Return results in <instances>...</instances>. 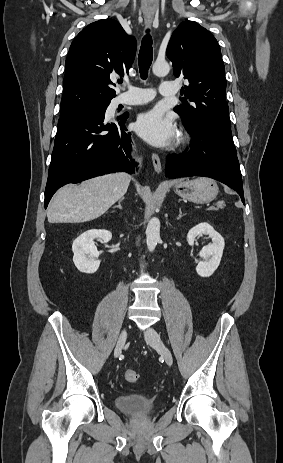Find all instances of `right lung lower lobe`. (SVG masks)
<instances>
[{
	"label": "right lung lower lobe",
	"instance_id": "obj_1",
	"mask_svg": "<svg viewBox=\"0 0 283 463\" xmlns=\"http://www.w3.org/2000/svg\"><path fill=\"white\" fill-rule=\"evenodd\" d=\"M108 104H98L58 121L52 159L45 189V208L63 185L106 173H133L130 158L131 134L124 125L128 114L107 122Z\"/></svg>",
	"mask_w": 283,
	"mask_h": 463
}]
</instances>
